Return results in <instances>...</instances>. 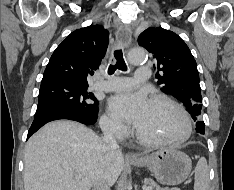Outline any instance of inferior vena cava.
<instances>
[{
	"label": "inferior vena cava",
	"mask_w": 234,
	"mask_h": 190,
	"mask_svg": "<svg viewBox=\"0 0 234 190\" xmlns=\"http://www.w3.org/2000/svg\"><path fill=\"white\" fill-rule=\"evenodd\" d=\"M104 134V142L106 143L107 147L112 151H120L119 145L116 141L115 137V126L114 124H107L104 125L103 128ZM94 190H110V185L104 178L98 179V181L94 185Z\"/></svg>",
	"instance_id": "602c4592"
}]
</instances>
